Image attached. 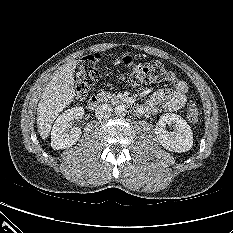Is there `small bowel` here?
I'll list each match as a JSON object with an SVG mask.
<instances>
[{"label":"small bowel","instance_id":"c3829d8e","mask_svg":"<svg viewBox=\"0 0 233 233\" xmlns=\"http://www.w3.org/2000/svg\"><path fill=\"white\" fill-rule=\"evenodd\" d=\"M188 85L174 77L173 88L161 89L154 92L143 105L145 113H156L158 111L174 112L182 109L187 101Z\"/></svg>","mask_w":233,"mask_h":233}]
</instances>
